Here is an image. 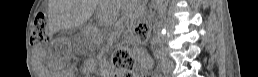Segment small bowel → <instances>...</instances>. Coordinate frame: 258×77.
Returning <instances> with one entry per match:
<instances>
[{"instance_id":"obj_1","label":"small bowel","mask_w":258,"mask_h":77,"mask_svg":"<svg viewBox=\"0 0 258 77\" xmlns=\"http://www.w3.org/2000/svg\"><path fill=\"white\" fill-rule=\"evenodd\" d=\"M144 69H145V66H144V65H141V66L138 68L137 72H138V73H142V72L144 71Z\"/></svg>"}]
</instances>
